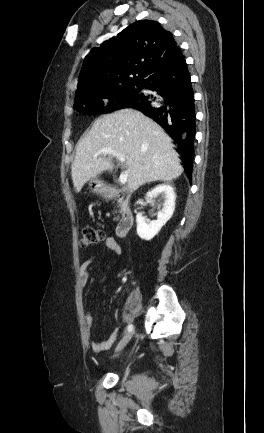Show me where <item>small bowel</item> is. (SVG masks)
<instances>
[{"instance_id": "c3829d8e", "label": "small bowel", "mask_w": 264, "mask_h": 433, "mask_svg": "<svg viewBox=\"0 0 264 433\" xmlns=\"http://www.w3.org/2000/svg\"><path fill=\"white\" fill-rule=\"evenodd\" d=\"M103 243L106 246V248L109 251L113 252L114 254L118 255L121 253V247L114 238L107 237L104 239ZM93 260H94V255H91L80 266L79 279L82 285H86L89 281L90 276H89L88 269L91 263L93 262ZM85 322L87 327L90 328L93 323L92 317L90 315H87L85 317ZM119 335H120V329L114 328L107 339L101 342H92L91 347L95 352L106 351L111 348L114 342L118 339Z\"/></svg>"}]
</instances>
